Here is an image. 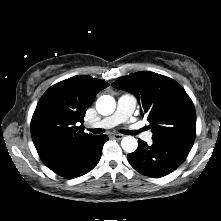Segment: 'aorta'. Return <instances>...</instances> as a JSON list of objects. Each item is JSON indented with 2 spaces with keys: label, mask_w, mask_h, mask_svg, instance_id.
I'll return each instance as SVG.
<instances>
[{
  "label": "aorta",
  "mask_w": 221,
  "mask_h": 221,
  "mask_svg": "<svg viewBox=\"0 0 221 221\" xmlns=\"http://www.w3.org/2000/svg\"><path fill=\"white\" fill-rule=\"evenodd\" d=\"M116 103L112 96L103 95L96 102V109L101 115H111L115 111ZM138 142L132 136L124 137L121 141V147L124 151L132 153L137 149Z\"/></svg>",
  "instance_id": "1"
}]
</instances>
